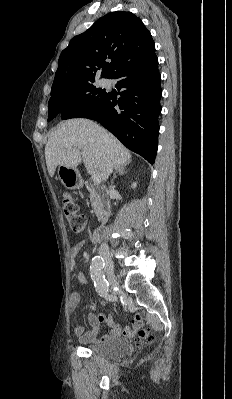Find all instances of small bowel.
I'll return each mask as SVG.
<instances>
[{"label":"small bowel","instance_id":"small-bowel-1","mask_svg":"<svg viewBox=\"0 0 232 399\" xmlns=\"http://www.w3.org/2000/svg\"><path fill=\"white\" fill-rule=\"evenodd\" d=\"M83 246V243H78L71 250V257L76 259L79 264H83L86 259V255L81 252ZM78 280L81 284L87 283V279L83 273L78 275ZM79 305V298L77 295L72 294L69 300L70 310H76ZM86 318L88 324L92 328L90 331L85 332L84 327L81 325L75 327V333L81 345H87L89 343L103 346L114 345L117 343L122 333H134L139 331L143 326L140 316H137L136 320L130 326H122L116 323L112 315L105 313L89 311L86 314ZM100 323H105L106 325V332L103 334H100Z\"/></svg>","mask_w":232,"mask_h":399}]
</instances>
